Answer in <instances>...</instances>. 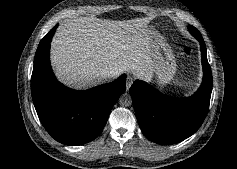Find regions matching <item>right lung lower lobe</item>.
<instances>
[{
	"label": "right lung lower lobe",
	"mask_w": 237,
	"mask_h": 169,
	"mask_svg": "<svg viewBox=\"0 0 237 169\" xmlns=\"http://www.w3.org/2000/svg\"><path fill=\"white\" fill-rule=\"evenodd\" d=\"M57 25L41 40L34 58L32 99L48 133L66 145H81L102 131L111 108L125 91L126 75L115 81L76 91L57 81L50 65V42Z\"/></svg>",
	"instance_id": "right-lung-lower-lobe-1"
}]
</instances>
